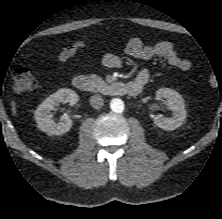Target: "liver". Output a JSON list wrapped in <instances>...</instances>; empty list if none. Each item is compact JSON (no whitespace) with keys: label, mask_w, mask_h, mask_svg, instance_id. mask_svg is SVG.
I'll return each mask as SVG.
<instances>
[{"label":"liver","mask_w":222,"mask_h":219,"mask_svg":"<svg viewBox=\"0 0 222 219\" xmlns=\"http://www.w3.org/2000/svg\"><path fill=\"white\" fill-rule=\"evenodd\" d=\"M11 106H12V112H13V114L16 115V103H15V101H12V102H11Z\"/></svg>","instance_id":"obj_1"}]
</instances>
